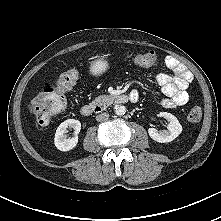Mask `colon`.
<instances>
[{"instance_id": "5ec220e1", "label": "colon", "mask_w": 221, "mask_h": 221, "mask_svg": "<svg viewBox=\"0 0 221 221\" xmlns=\"http://www.w3.org/2000/svg\"><path fill=\"white\" fill-rule=\"evenodd\" d=\"M127 57L141 67H151L156 64L157 57L153 51L147 52H128ZM79 73L76 69H69L63 72L54 83L42 85L39 93L30 104L32 113L37 126H45L57 117L65 107L66 93L76 84ZM188 120L197 122L202 117V109L193 106L187 114Z\"/></svg>"}]
</instances>
